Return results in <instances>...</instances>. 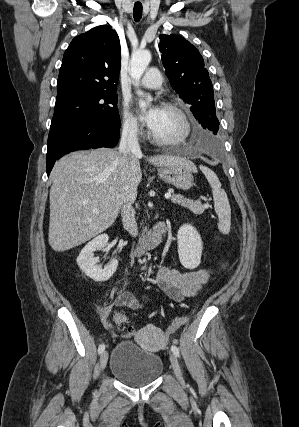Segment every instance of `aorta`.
I'll return each instance as SVG.
<instances>
[{"label":"aorta","mask_w":299,"mask_h":427,"mask_svg":"<svg viewBox=\"0 0 299 427\" xmlns=\"http://www.w3.org/2000/svg\"><path fill=\"white\" fill-rule=\"evenodd\" d=\"M150 61L151 53L149 50H139L132 53L130 61V76L133 79V83L135 86H139V81ZM137 93L140 96L143 95L141 91H138ZM151 101L152 98L149 96L147 99V103H150ZM140 105L144 106L146 105V103L141 101Z\"/></svg>","instance_id":"aorta-1"}]
</instances>
